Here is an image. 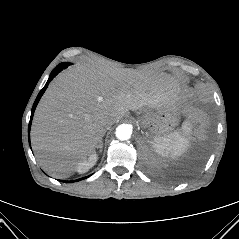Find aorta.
<instances>
[{
    "mask_svg": "<svg viewBox=\"0 0 239 239\" xmlns=\"http://www.w3.org/2000/svg\"><path fill=\"white\" fill-rule=\"evenodd\" d=\"M115 134L116 137L121 141L128 140L132 135V127L128 124H121L116 128Z\"/></svg>",
    "mask_w": 239,
    "mask_h": 239,
    "instance_id": "obj_1",
    "label": "aorta"
}]
</instances>
